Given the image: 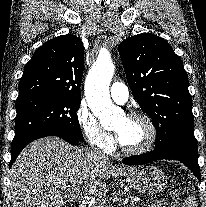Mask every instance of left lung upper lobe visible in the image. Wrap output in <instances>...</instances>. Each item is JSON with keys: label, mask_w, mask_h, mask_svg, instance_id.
Returning <instances> with one entry per match:
<instances>
[{"label": "left lung upper lobe", "mask_w": 206, "mask_h": 207, "mask_svg": "<svg viewBox=\"0 0 206 207\" xmlns=\"http://www.w3.org/2000/svg\"><path fill=\"white\" fill-rule=\"evenodd\" d=\"M118 50L132 93L157 130L155 150L197 146L188 76L168 42L142 33L124 40Z\"/></svg>", "instance_id": "1"}]
</instances>
